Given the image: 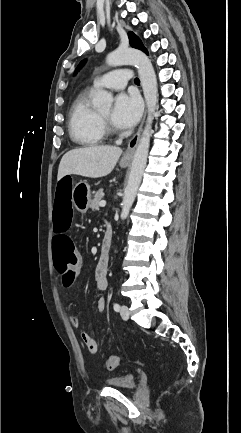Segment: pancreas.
<instances>
[{
    "instance_id": "pancreas-1",
    "label": "pancreas",
    "mask_w": 241,
    "mask_h": 433,
    "mask_svg": "<svg viewBox=\"0 0 241 433\" xmlns=\"http://www.w3.org/2000/svg\"><path fill=\"white\" fill-rule=\"evenodd\" d=\"M103 198V189H100L97 191L93 197V199L90 202L89 207L95 211L99 210V203L101 202V199Z\"/></svg>"
}]
</instances>
